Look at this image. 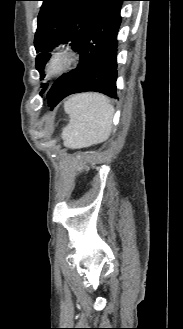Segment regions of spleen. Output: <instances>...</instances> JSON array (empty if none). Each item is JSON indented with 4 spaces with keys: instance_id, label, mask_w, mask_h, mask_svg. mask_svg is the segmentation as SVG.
<instances>
[{
    "instance_id": "spleen-1",
    "label": "spleen",
    "mask_w": 183,
    "mask_h": 329,
    "mask_svg": "<svg viewBox=\"0 0 183 329\" xmlns=\"http://www.w3.org/2000/svg\"><path fill=\"white\" fill-rule=\"evenodd\" d=\"M64 110L70 117L64 131L66 147H89L109 138L114 108L105 95L92 92L73 95L65 101Z\"/></svg>"
}]
</instances>
